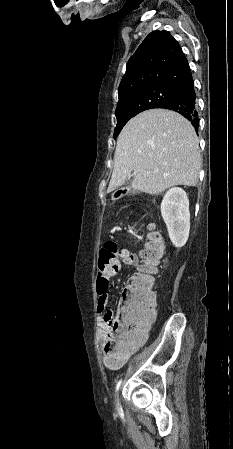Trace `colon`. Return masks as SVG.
<instances>
[{
	"label": "colon",
	"mask_w": 233,
	"mask_h": 449,
	"mask_svg": "<svg viewBox=\"0 0 233 449\" xmlns=\"http://www.w3.org/2000/svg\"><path fill=\"white\" fill-rule=\"evenodd\" d=\"M163 240L159 234L148 236L145 249L141 253L143 265L139 272L130 278L129 284L122 293L121 317L115 318L107 311L104 320L108 326V341L103 350L104 362L113 367L121 366L125 362L126 347L115 345L117 335L126 342L132 340L139 323H143L156 313L155 270L162 257ZM119 248L113 242L105 243L100 249L98 260L97 292L106 295L109 289L108 269L119 263Z\"/></svg>",
	"instance_id": "5ec220e1"
}]
</instances>
